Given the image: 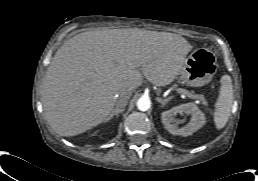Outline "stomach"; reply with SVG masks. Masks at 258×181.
Masks as SVG:
<instances>
[{"label": "stomach", "mask_w": 258, "mask_h": 181, "mask_svg": "<svg viewBox=\"0 0 258 181\" xmlns=\"http://www.w3.org/2000/svg\"><path fill=\"white\" fill-rule=\"evenodd\" d=\"M217 68L215 54L207 48H198L185 59L179 75L188 86L200 87L212 80Z\"/></svg>", "instance_id": "1"}]
</instances>
